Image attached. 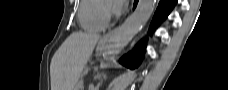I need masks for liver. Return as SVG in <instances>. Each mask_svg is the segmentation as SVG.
Returning <instances> with one entry per match:
<instances>
[{"mask_svg": "<svg viewBox=\"0 0 228 90\" xmlns=\"http://www.w3.org/2000/svg\"><path fill=\"white\" fill-rule=\"evenodd\" d=\"M99 38L98 34L73 32L63 42L51 60V90H75Z\"/></svg>", "mask_w": 228, "mask_h": 90, "instance_id": "obj_1", "label": "liver"}]
</instances>
